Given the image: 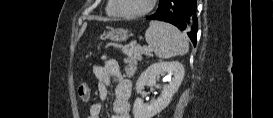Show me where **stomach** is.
Masks as SVG:
<instances>
[{
	"label": "stomach",
	"instance_id": "obj_1",
	"mask_svg": "<svg viewBox=\"0 0 273 118\" xmlns=\"http://www.w3.org/2000/svg\"><path fill=\"white\" fill-rule=\"evenodd\" d=\"M128 37H129L128 31L124 29H112L105 35V38H109L111 40L119 42L126 41Z\"/></svg>",
	"mask_w": 273,
	"mask_h": 118
}]
</instances>
